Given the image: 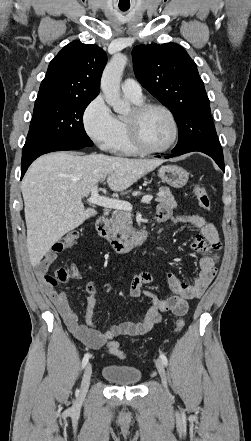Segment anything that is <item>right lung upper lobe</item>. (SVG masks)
Here are the masks:
<instances>
[{"mask_svg": "<svg viewBox=\"0 0 251 441\" xmlns=\"http://www.w3.org/2000/svg\"><path fill=\"white\" fill-rule=\"evenodd\" d=\"M107 63L105 51L97 45L75 40L50 62L36 101L95 98Z\"/></svg>", "mask_w": 251, "mask_h": 441, "instance_id": "obj_1", "label": "right lung upper lobe"}]
</instances>
